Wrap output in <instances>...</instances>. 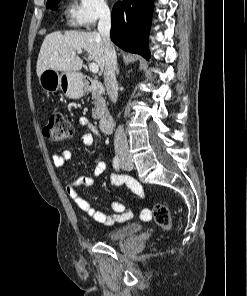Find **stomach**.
<instances>
[{"label":"stomach","instance_id":"obj_1","mask_svg":"<svg viewBox=\"0 0 247 296\" xmlns=\"http://www.w3.org/2000/svg\"><path fill=\"white\" fill-rule=\"evenodd\" d=\"M38 82L46 93H55L59 89L69 98L78 99L83 96V84L79 74L63 72L52 69L44 70L38 76Z\"/></svg>","mask_w":247,"mask_h":296}]
</instances>
